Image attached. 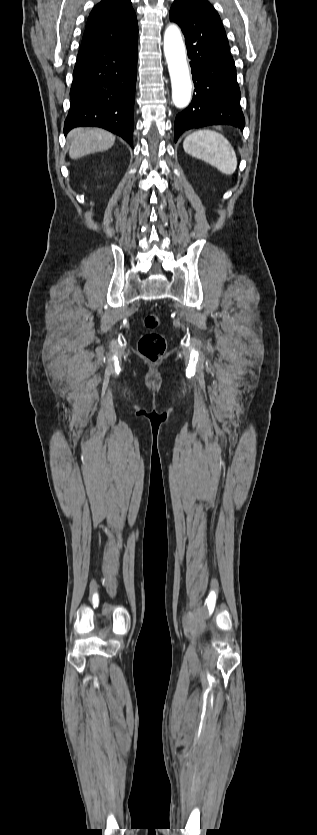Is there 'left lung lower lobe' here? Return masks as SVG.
Listing matches in <instances>:
<instances>
[{"instance_id": "left-lung-lower-lobe-1", "label": "left lung lower lobe", "mask_w": 317, "mask_h": 835, "mask_svg": "<svg viewBox=\"0 0 317 835\" xmlns=\"http://www.w3.org/2000/svg\"><path fill=\"white\" fill-rule=\"evenodd\" d=\"M184 21L174 15L185 36L195 86L191 104L175 119V142L185 131L210 125L245 126L236 68L217 12L179 5Z\"/></svg>"}]
</instances>
